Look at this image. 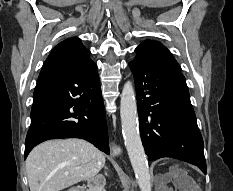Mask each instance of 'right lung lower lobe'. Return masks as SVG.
Returning <instances> with one entry per match:
<instances>
[{
	"label": "right lung lower lobe",
	"instance_id": "right-lung-lower-lobe-1",
	"mask_svg": "<svg viewBox=\"0 0 233 191\" xmlns=\"http://www.w3.org/2000/svg\"><path fill=\"white\" fill-rule=\"evenodd\" d=\"M81 138L109 154L105 109L96 64L40 72L33 95L24 159L49 139Z\"/></svg>",
	"mask_w": 233,
	"mask_h": 191
}]
</instances>
